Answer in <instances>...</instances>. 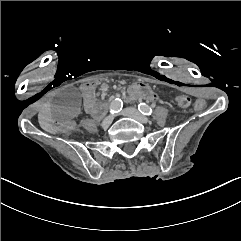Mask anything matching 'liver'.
I'll use <instances>...</instances> for the list:
<instances>
[{"instance_id":"liver-1","label":"liver","mask_w":241,"mask_h":241,"mask_svg":"<svg viewBox=\"0 0 241 241\" xmlns=\"http://www.w3.org/2000/svg\"><path fill=\"white\" fill-rule=\"evenodd\" d=\"M39 124L43 130H45L48 133L56 134V130L53 128L52 124L50 122L52 121V117L49 115H40L39 116Z\"/></svg>"}]
</instances>
